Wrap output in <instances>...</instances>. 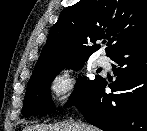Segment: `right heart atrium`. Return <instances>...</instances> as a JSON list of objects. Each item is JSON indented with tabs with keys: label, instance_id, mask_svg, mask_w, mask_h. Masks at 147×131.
<instances>
[{
	"label": "right heart atrium",
	"instance_id": "obj_1",
	"mask_svg": "<svg viewBox=\"0 0 147 131\" xmlns=\"http://www.w3.org/2000/svg\"><path fill=\"white\" fill-rule=\"evenodd\" d=\"M78 81L72 70H60L56 72L50 81L52 98L57 105H67L75 96Z\"/></svg>",
	"mask_w": 147,
	"mask_h": 131
}]
</instances>
